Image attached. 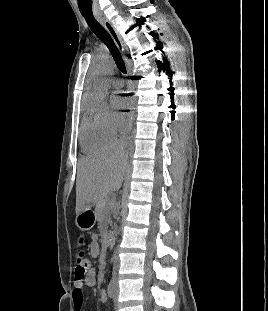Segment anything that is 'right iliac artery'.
I'll use <instances>...</instances> for the list:
<instances>
[{"mask_svg":"<svg viewBox=\"0 0 268 311\" xmlns=\"http://www.w3.org/2000/svg\"><path fill=\"white\" fill-rule=\"evenodd\" d=\"M107 292H108L109 298L112 299L114 297V282L113 281H110V283L108 284Z\"/></svg>","mask_w":268,"mask_h":311,"instance_id":"82829eb1","label":"right iliac artery"}]
</instances>
